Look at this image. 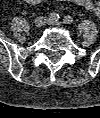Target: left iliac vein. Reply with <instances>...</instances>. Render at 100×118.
Masks as SVG:
<instances>
[{"mask_svg":"<svg viewBox=\"0 0 100 118\" xmlns=\"http://www.w3.org/2000/svg\"><path fill=\"white\" fill-rule=\"evenodd\" d=\"M47 23L49 25H53V26H59L60 25V22L54 21V20H51V19H48Z\"/></svg>","mask_w":100,"mask_h":118,"instance_id":"obj_1","label":"left iliac vein"}]
</instances>
